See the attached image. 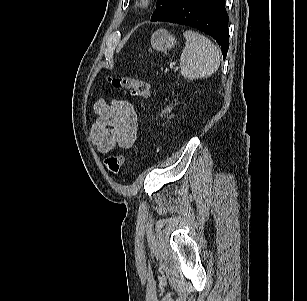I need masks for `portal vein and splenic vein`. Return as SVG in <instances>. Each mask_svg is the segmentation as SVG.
Masks as SVG:
<instances>
[{
  "mask_svg": "<svg viewBox=\"0 0 307 301\" xmlns=\"http://www.w3.org/2000/svg\"><path fill=\"white\" fill-rule=\"evenodd\" d=\"M169 72V69H164V73H168Z\"/></svg>",
  "mask_w": 307,
  "mask_h": 301,
  "instance_id": "1",
  "label": "portal vein and splenic vein"
}]
</instances>
